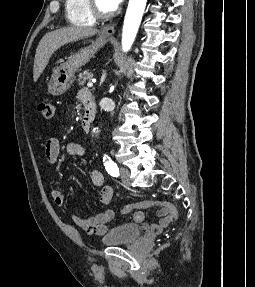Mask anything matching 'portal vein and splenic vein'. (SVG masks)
<instances>
[{
	"instance_id": "1",
	"label": "portal vein and splenic vein",
	"mask_w": 255,
	"mask_h": 287,
	"mask_svg": "<svg viewBox=\"0 0 255 287\" xmlns=\"http://www.w3.org/2000/svg\"><path fill=\"white\" fill-rule=\"evenodd\" d=\"M94 82H97V80H92V82H88L87 84L88 88H93Z\"/></svg>"
}]
</instances>
